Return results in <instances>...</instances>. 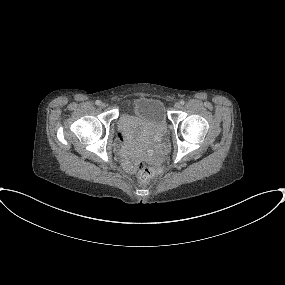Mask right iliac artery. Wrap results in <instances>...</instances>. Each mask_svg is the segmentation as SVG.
I'll list each match as a JSON object with an SVG mask.
<instances>
[{
	"mask_svg": "<svg viewBox=\"0 0 285 285\" xmlns=\"http://www.w3.org/2000/svg\"><path fill=\"white\" fill-rule=\"evenodd\" d=\"M95 103H96V105H100L101 102L99 100H97Z\"/></svg>",
	"mask_w": 285,
	"mask_h": 285,
	"instance_id": "obj_1",
	"label": "right iliac artery"
}]
</instances>
